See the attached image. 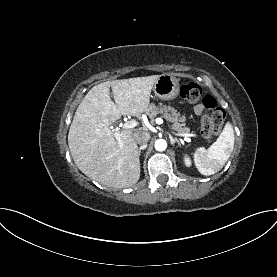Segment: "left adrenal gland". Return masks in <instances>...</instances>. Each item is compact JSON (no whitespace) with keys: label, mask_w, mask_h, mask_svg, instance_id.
Returning a JSON list of instances; mask_svg holds the SVG:
<instances>
[{"label":"left adrenal gland","mask_w":277,"mask_h":277,"mask_svg":"<svg viewBox=\"0 0 277 277\" xmlns=\"http://www.w3.org/2000/svg\"><path fill=\"white\" fill-rule=\"evenodd\" d=\"M169 138L172 146H174V144L177 143L181 147V144L177 138H173L172 135H169Z\"/></svg>","instance_id":"left-adrenal-gland-1"}]
</instances>
